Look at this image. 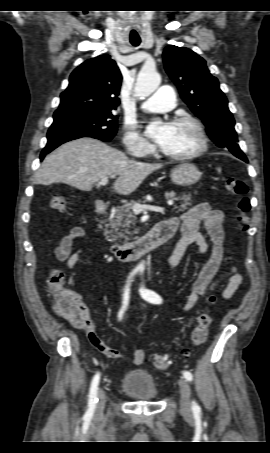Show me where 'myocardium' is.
Instances as JSON below:
<instances>
[{
  "label": "myocardium",
  "mask_w": 270,
  "mask_h": 453,
  "mask_svg": "<svg viewBox=\"0 0 270 453\" xmlns=\"http://www.w3.org/2000/svg\"><path fill=\"white\" fill-rule=\"evenodd\" d=\"M172 124L191 125L197 133V136L199 139V146L196 150H194L190 153L181 154V155L168 154V153H165L161 149L160 154L163 158L170 160V161H176V162L190 161V160L200 157L207 151L208 137L205 132L203 124L198 119H196L195 117H192V116H188V115L178 116L172 120Z\"/></svg>",
  "instance_id": "1"
}]
</instances>
